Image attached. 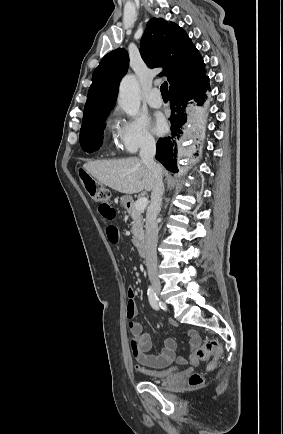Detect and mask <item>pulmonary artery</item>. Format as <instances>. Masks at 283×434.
Returning a JSON list of instances; mask_svg holds the SVG:
<instances>
[{
  "label": "pulmonary artery",
  "mask_w": 283,
  "mask_h": 434,
  "mask_svg": "<svg viewBox=\"0 0 283 434\" xmlns=\"http://www.w3.org/2000/svg\"><path fill=\"white\" fill-rule=\"evenodd\" d=\"M149 106L152 108H160L162 105V99L160 97V92L157 88H153L147 98Z\"/></svg>",
  "instance_id": "1"
}]
</instances>
